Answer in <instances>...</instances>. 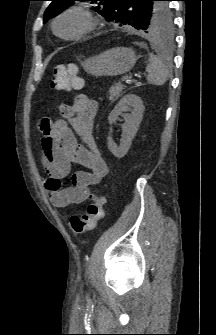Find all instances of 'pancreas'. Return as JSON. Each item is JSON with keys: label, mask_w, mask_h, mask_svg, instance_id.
I'll use <instances>...</instances> for the list:
<instances>
[{"label": "pancreas", "mask_w": 216, "mask_h": 335, "mask_svg": "<svg viewBox=\"0 0 216 335\" xmlns=\"http://www.w3.org/2000/svg\"><path fill=\"white\" fill-rule=\"evenodd\" d=\"M124 89H125V86L122 83L120 82L115 83L109 89V100L111 102H115L119 97H121Z\"/></svg>", "instance_id": "cf45deb5"}]
</instances>
